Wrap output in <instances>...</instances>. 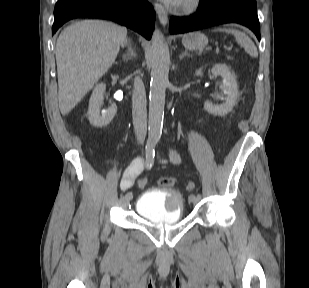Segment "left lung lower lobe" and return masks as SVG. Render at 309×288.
Instances as JSON below:
<instances>
[{
	"mask_svg": "<svg viewBox=\"0 0 309 288\" xmlns=\"http://www.w3.org/2000/svg\"><path fill=\"white\" fill-rule=\"evenodd\" d=\"M230 22L247 26L260 40L255 0H200L196 14L183 18L172 17L169 31L172 34L185 33Z\"/></svg>",
	"mask_w": 309,
	"mask_h": 288,
	"instance_id": "0a47b994",
	"label": "left lung lower lobe"
}]
</instances>
